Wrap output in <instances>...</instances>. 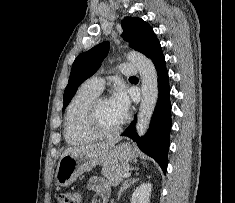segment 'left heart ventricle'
Segmentation results:
<instances>
[{"instance_id":"left-heart-ventricle-1","label":"left heart ventricle","mask_w":235,"mask_h":203,"mask_svg":"<svg viewBox=\"0 0 235 203\" xmlns=\"http://www.w3.org/2000/svg\"><path fill=\"white\" fill-rule=\"evenodd\" d=\"M109 99L103 100L98 109V119L100 125L107 130L116 128L124 120Z\"/></svg>"}]
</instances>
